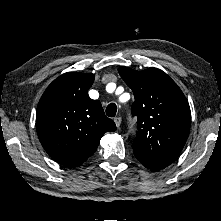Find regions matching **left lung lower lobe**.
I'll return each instance as SVG.
<instances>
[{
  "label": "left lung lower lobe",
  "mask_w": 221,
  "mask_h": 221,
  "mask_svg": "<svg viewBox=\"0 0 221 221\" xmlns=\"http://www.w3.org/2000/svg\"><path fill=\"white\" fill-rule=\"evenodd\" d=\"M134 154L136 156V158L148 169H150L151 171H159L165 167H167L168 165H170V162L167 161H163V160H158V159H154L142 152H136L134 151Z\"/></svg>",
  "instance_id": "1"
}]
</instances>
